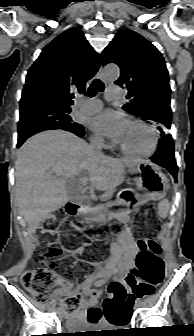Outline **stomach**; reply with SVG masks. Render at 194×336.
Masks as SVG:
<instances>
[{"instance_id":"0dacf381","label":"stomach","mask_w":194,"mask_h":336,"mask_svg":"<svg viewBox=\"0 0 194 336\" xmlns=\"http://www.w3.org/2000/svg\"><path fill=\"white\" fill-rule=\"evenodd\" d=\"M129 172L139 174L135 179L138 193L134 190H128L122 195V200L132 209H137L148 200H160L166 195L168 190V180L165 175L159 171L151 162L141 160L140 162L128 167ZM97 222L102 220L97 216Z\"/></svg>"}]
</instances>
